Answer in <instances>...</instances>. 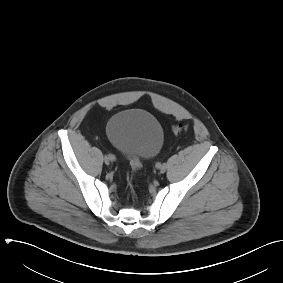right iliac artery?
I'll return each instance as SVG.
<instances>
[{"label": "right iliac artery", "mask_w": 283, "mask_h": 283, "mask_svg": "<svg viewBox=\"0 0 283 283\" xmlns=\"http://www.w3.org/2000/svg\"><path fill=\"white\" fill-rule=\"evenodd\" d=\"M109 156L111 157V160L114 161L115 160V156L112 154H109Z\"/></svg>", "instance_id": "82829eb1"}]
</instances>
